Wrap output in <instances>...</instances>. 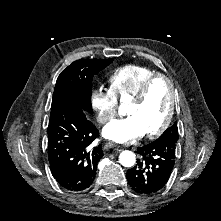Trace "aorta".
<instances>
[{
  "mask_svg": "<svg viewBox=\"0 0 221 221\" xmlns=\"http://www.w3.org/2000/svg\"><path fill=\"white\" fill-rule=\"evenodd\" d=\"M135 161V154L132 151L125 150L119 155V162L124 167H132Z\"/></svg>",
  "mask_w": 221,
  "mask_h": 221,
  "instance_id": "aorta-1",
  "label": "aorta"
}]
</instances>
